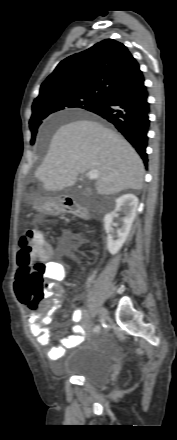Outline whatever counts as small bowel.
<instances>
[{
	"instance_id": "1",
	"label": "small bowel",
	"mask_w": 177,
	"mask_h": 440,
	"mask_svg": "<svg viewBox=\"0 0 177 440\" xmlns=\"http://www.w3.org/2000/svg\"><path fill=\"white\" fill-rule=\"evenodd\" d=\"M51 253V250H50ZM50 256V255H49ZM47 277L54 281H62L65 278V270L63 265L54 260L46 259ZM16 292V287H15ZM62 294V288L59 285L50 286L51 300L44 305L45 313L30 311L27 314V323L30 334L34 336L41 346H47L50 342V331L46 327L52 322L53 315L60 308L59 297ZM19 299V295L16 292ZM84 319V310L77 308L72 314L74 325L72 326V334L68 337L61 338L59 344L48 350V358L52 361L58 360L65 355L69 348H73L83 342L85 336V327L80 323Z\"/></svg>"
}]
</instances>
